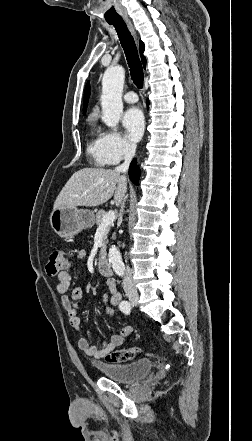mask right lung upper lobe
<instances>
[{"label": "right lung upper lobe", "mask_w": 252, "mask_h": 441, "mask_svg": "<svg viewBox=\"0 0 252 441\" xmlns=\"http://www.w3.org/2000/svg\"><path fill=\"white\" fill-rule=\"evenodd\" d=\"M143 52H144V43L142 41H140V55H141L142 63L144 65V67H145V65H146V58L144 57ZM89 96H90V86H89V83H88L86 85L85 93H84L83 115H85L86 110H87V103H88Z\"/></svg>", "instance_id": "right-lung-upper-lobe-1"}]
</instances>
